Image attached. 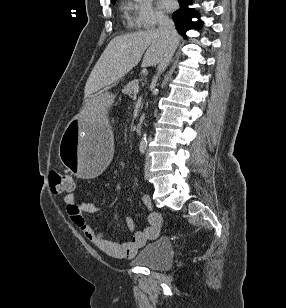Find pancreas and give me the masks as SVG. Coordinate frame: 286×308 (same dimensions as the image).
<instances>
[{
	"label": "pancreas",
	"mask_w": 286,
	"mask_h": 308,
	"mask_svg": "<svg viewBox=\"0 0 286 308\" xmlns=\"http://www.w3.org/2000/svg\"><path fill=\"white\" fill-rule=\"evenodd\" d=\"M136 85H139V80L134 79L133 81L129 82L123 89L122 93L132 95L134 93V88Z\"/></svg>",
	"instance_id": "pancreas-1"
}]
</instances>
